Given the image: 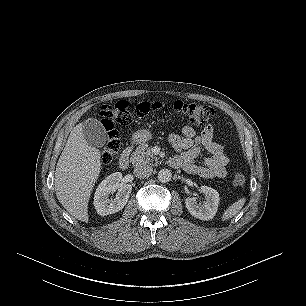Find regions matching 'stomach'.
Wrapping results in <instances>:
<instances>
[{
    "instance_id": "1",
    "label": "stomach",
    "mask_w": 306,
    "mask_h": 306,
    "mask_svg": "<svg viewBox=\"0 0 306 306\" xmlns=\"http://www.w3.org/2000/svg\"><path fill=\"white\" fill-rule=\"evenodd\" d=\"M152 138V133L147 129L138 130L133 134V140L139 143L146 142Z\"/></svg>"
}]
</instances>
